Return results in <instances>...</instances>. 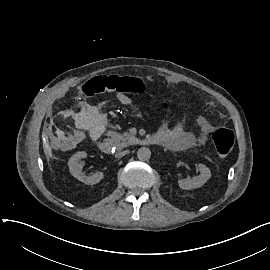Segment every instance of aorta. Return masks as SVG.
Returning <instances> with one entry per match:
<instances>
[{
  "instance_id": "762f6f07",
  "label": "aorta",
  "mask_w": 270,
  "mask_h": 270,
  "mask_svg": "<svg viewBox=\"0 0 270 270\" xmlns=\"http://www.w3.org/2000/svg\"><path fill=\"white\" fill-rule=\"evenodd\" d=\"M137 157L142 161L148 160L151 157L150 149L146 147L139 148L137 151Z\"/></svg>"
}]
</instances>
